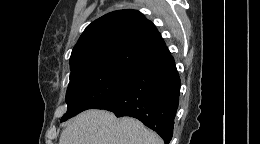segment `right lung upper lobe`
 I'll list each match as a JSON object with an SVG mask.
<instances>
[{
    "mask_svg": "<svg viewBox=\"0 0 260 144\" xmlns=\"http://www.w3.org/2000/svg\"><path fill=\"white\" fill-rule=\"evenodd\" d=\"M170 52L154 24L135 10L108 13L88 25L71 57V73L80 69L110 65L138 68Z\"/></svg>",
    "mask_w": 260,
    "mask_h": 144,
    "instance_id": "cb5924a9",
    "label": "right lung upper lobe"
}]
</instances>
